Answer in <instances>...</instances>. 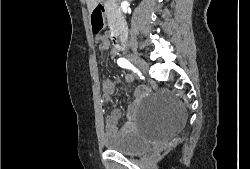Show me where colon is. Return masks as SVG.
Listing matches in <instances>:
<instances>
[{
    "label": "colon",
    "instance_id": "colon-1",
    "mask_svg": "<svg viewBox=\"0 0 250 169\" xmlns=\"http://www.w3.org/2000/svg\"><path fill=\"white\" fill-rule=\"evenodd\" d=\"M105 23L103 17V11L97 7L91 13V28L94 34H99L104 30ZM179 138H170V141H166V150H173L174 146H178Z\"/></svg>",
    "mask_w": 250,
    "mask_h": 169
}]
</instances>
